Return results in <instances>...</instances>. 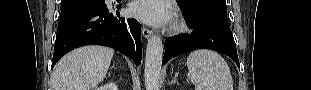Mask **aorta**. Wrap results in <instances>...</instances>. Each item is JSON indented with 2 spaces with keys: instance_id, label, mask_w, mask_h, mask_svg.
I'll use <instances>...</instances> for the list:
<instances>
[{
  "instance_id": "1",
  "label": "aorta",
  "mask_w": 311,
  "mask_h": 90,
  "mask_svg": "<svg viewBox=\"0 0 311 90\" xmlns=\"http://www.w3.org/2000/svg\"><path fill=\"white\" fill-rule=\"evenodd\" d=\"M163 58V44L160 36L152 35L147 43L145 56V88L158 90Z\"/></svg>"
}]
</instances>
